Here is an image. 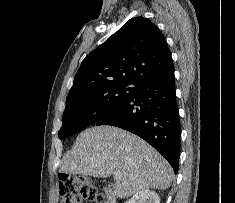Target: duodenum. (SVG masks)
I'll list each match as a JSON object with an SVG mask.
<instances>
[{
  "instance_id": "410a0bca",
  "label": "duodenum",
  "mask_w": 235,
  "mask_h": 203,
  "mask_svg": "<svg viewBox=\"0 0 235 203\" xmlns=\"http://www.w3.org/2000/svg\"><path fill=\"white\" fill-rule=\"evenodd\" d=\"M104 193L106 197V203H116V197L110 189L105 188Z\"/></svg>"
}]
</instances>
